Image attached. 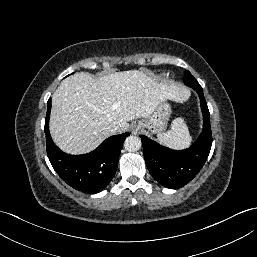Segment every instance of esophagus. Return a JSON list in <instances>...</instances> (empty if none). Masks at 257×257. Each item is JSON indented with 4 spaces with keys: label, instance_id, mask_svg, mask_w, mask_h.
I'll use <instances>...</instances> for the list:
<instances>
[{
    "label": "esophagus",
    "instance_id": "esophagus-1",
    "mask_svg": "<svg viewBox=\"0 0 257 257\" xmlns=\"http://www.w3.org/2000/svg\"><path fill=\"white\" fill-rule=\"evenodd\" d=\"M138 131H139V128H133L132 133H133V134H137Z\"/></svg>",
    "mask_w": 257,
    "mask_h": 257
}]
</instances>
